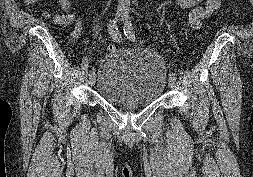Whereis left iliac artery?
<instances>
[{
    "label": "left iliac artery",
    "mask_w": 253,
    "mask_h": 177,
    "mask_svg": "<svg viewBox=\"0 0 253 177\" xmlns=\"http://www.w3.org/2000/svg\"><path fill=\"white\" fill-rule=\"evenodd\" d=\"M124 34L125 36L131 40L132 42H136V36H135V32H134V29H133V26H132V23L129 21H126L125 24H124ZM169 77L173 78L176 80L177 78V75L175 72H170L169 73Z\"/></svg>",
    "instance_id": "44dca946"
}]
</instances>
